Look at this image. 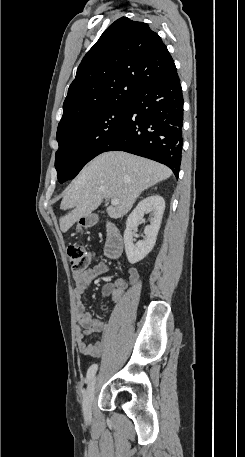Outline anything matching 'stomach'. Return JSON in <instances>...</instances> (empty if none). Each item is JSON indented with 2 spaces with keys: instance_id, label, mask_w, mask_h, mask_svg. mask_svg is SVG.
Instances as JSON below:
<instances>
[{
  "instance_id": "obj_1",
  "label": "stomach",
  "mask_w": 245,
  "mask_h": 457,
  "mask_svg": "<svg viewBox=\"0 0 245 457\" xmlns=\"http://www.w3.org/2000/svg\"><path fill=\"white\" fill-rule=\"evenodd\" d=\"M92 222H90L89 216H83L82 220H79V224L77 226V229L81 231L82 226H91Z\"/></svg>"
}]
</instances>
